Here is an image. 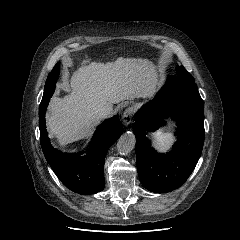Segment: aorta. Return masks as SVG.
<instances>
[{
	"mask_svg": "<svg viewBox=\"0 0 240 240\" xmlns=\"http://www.w3.org/2000/svg\"><path fill=\"white\" fill-rule=\"evenodd\" d=\"M135 146V136L132 132L124 133L117 142V151L125 155L130 153Z\"/></svg>",
	"mask_w": 240,
	"mask_h": 240,
	"instance_id": "1",
	"label": "aorta"
}]
</instances>
